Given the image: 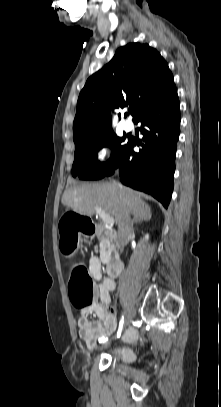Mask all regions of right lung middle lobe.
<instances>
[{
    "mask_svg": "<svg viewBox=\"0 0 221 407\" xmlns=\"http://www.w3.org/2000/svg\"><path fill=\"white\" fill-rule=\"evenodd\" d=\"M124 137H118L111 129L90 139L75 144V158L72 175L82 180H97L103 178L121 159L128 143L122 145ZM109 146L113 149L111 158L106 163L97 160L98 151Z\"/></svg>",
    "mask_w": 221,
    "mask_h": 407,
    "instance_id": "right-lung-middle-lobe-1",
    "label": "right lung middle lobe"
}]
</instances>
